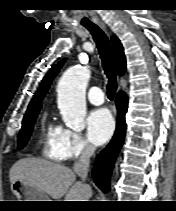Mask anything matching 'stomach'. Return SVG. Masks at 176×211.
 <instances>
[{
    "instance_id": "obj_1",
    "label": "stomach",
    "mask_w": 176,
    "mask_h": 211,
    "mask_svg": "<svg viewBox=\"0 0 176 211\" xmlns=\"http://www.w3.org/2000/svg\"><path fill=\"white\" fill-rule=\"evenodd\" d=\"M11 191L19 201H50L38 188L20 180L11 183Z\"/></svg>"
}]
</instances>
